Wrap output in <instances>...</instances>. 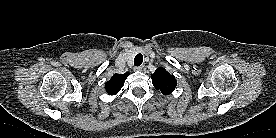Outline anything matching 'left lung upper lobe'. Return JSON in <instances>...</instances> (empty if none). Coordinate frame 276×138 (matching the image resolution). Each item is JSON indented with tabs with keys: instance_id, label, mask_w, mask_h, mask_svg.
<instances>
[{
	"instance_id": "1",
	"label": "left lung upper lobe",
	"mask_w": 276,
	"mask_h": 138,
	"mask_svg": "<svg viewBox=\"0 0 276 138\" xmlns=\"http://www.w3.org/2000/svg\"><path fill=\"white\" fill-rule=\"evenodd\" d=\"M151 79L154 87L163 95L171 94L177 85L175 77L162 67L156 69Z\"/></svg>"
}]
</instances>
